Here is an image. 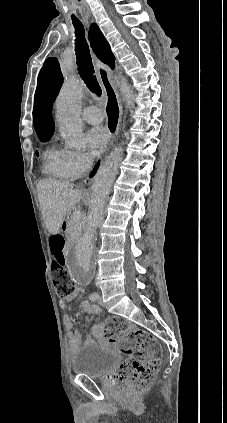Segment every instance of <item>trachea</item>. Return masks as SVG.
<instances>
[{
	"instance_id": "trachea-1",
	"label": "trachea",
	"mask_w": 227,
	"mask_h": 423,
	"mask_svg": "<svg viewBox=\"0 0 227 423\" xmlns=\"http://www.w3.org/2000/svg\"><path fill=\"white\" fill-rule=\"evenodd\" d=\"M72 23L75 28V51L79 75L89 90L97 95V97H100L102 95V90L94 75V67L92 64L89 46L85 39L84 27L77 18L72 19Z\"/></svg>"
}]
</instances>
